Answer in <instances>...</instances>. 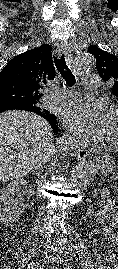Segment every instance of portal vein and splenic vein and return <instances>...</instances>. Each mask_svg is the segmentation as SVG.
Returning <instances> with one entry per match:
<instances>
[{"label":"portal vein and splenic vein","mask_w":118,"mask_h":269,"mask_svg":"<svg viewBox=\"0 0 118 269\" xmlns=\"http://www.w3.org/2000/svg\"><path fill=\"white\" fill-rule=\"evenodd\" d=\"M114 178H118V176H116V177H113V179H114Z\"/></svg>","instance_id":"18ae733b"}]
</instances>
